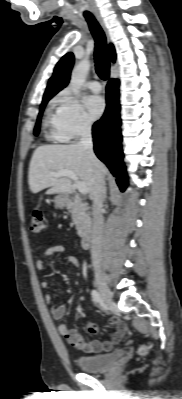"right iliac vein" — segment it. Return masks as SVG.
Returning <instances> with one entry per match:
<instances>
[{
  "mask_svg": "<svg viewBox=\"0 0 182 399\" xmlns=\"http://www.w3.org/2000/svg\"><path fill=\"white\" fill-rule=\"evenodd\" d=\"M96 285L99 289L102 301L107 305L110 306L112 304V295L111 292L105 283L102 275H97L95 278Z\"/></svg>",
  "mask_w": 182,
  "mask_h": 399,
  "instance_id": "right-iliac-vein-1",
  "label": "right iliac vein"
}]
</instances>
